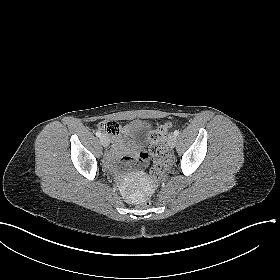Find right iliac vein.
<instances>
[{
    "mask_svg": "<svg viewBox=\"0 0 280 280\" xmlns=\"http://www.w3.org/2000/svg\"><path fill=\"white\" fill-rule=\"evenodd\" d=\"M100 141H101V143H102V145L104 147H108L109 146L110 140H109V137L107 135H105V134L102 135L101 138H100Z\"/></svg>",
    "mask_w": 280,
    "mask_h": 280,
    "instance_id": "1",
    "label": "right iliac vein"
}]
</instances>
